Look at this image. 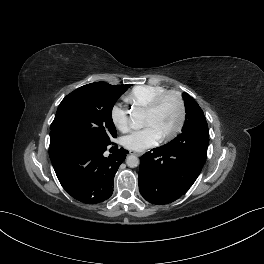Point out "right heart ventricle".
<instances>
[{
	"label": "right heart ventricle",
	"instance_id": "obj_1",
	"mask_svg": "<svg viewBox=\"0 0 264 264\" xmlns=\"http://www.w3.org/2000/svg\"><path fill=\"white\" fill-rule=\"evenodd\" d=\"M165 91L167 89L160 85H139L125 96V101L134 107L146 108L155 97Z\"/></svg>",
	"mask_w": 264,
	"mask_h": 264
}]
</instances>
